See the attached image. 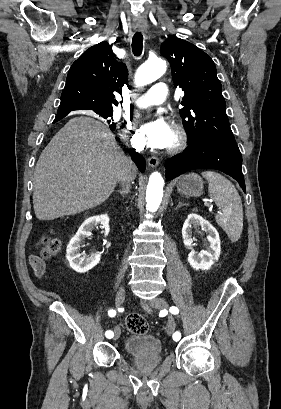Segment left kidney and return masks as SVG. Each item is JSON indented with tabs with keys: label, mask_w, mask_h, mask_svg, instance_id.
I'll return each instance as SVG.
<instances>
[{
	"label": "left kidney",
	"mask_w": 281,
	"mask_h": 409,
	"mask_svg": "<svg viewBox=\"0 0 281 409\" xmlns=\"http://www.w3.org/2000/svg\"><path fill=\"white\" fill-rule=\"evenodd\" d=\"M197 227H202L205 233H208L207 239L209 245L206 247V251H200V253H195L194 249H192V233L193 229H197ZM182 237L184 245L192 249L188 255V263H190L193 269H196V271H198V269L207 271L211 265H214L215 261H218L221 251L219 235L216 229L210 225L209 221L197 215L196 211L188 215L182 227Z\"/></svg>",
	"instance_id": "5707ae66"
}]
</instances>
